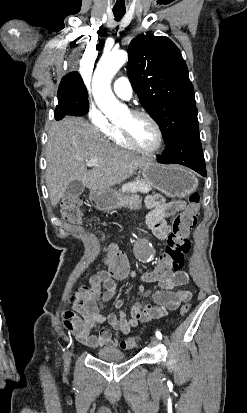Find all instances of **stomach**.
I'll use <instances>...</instances> for the list:
<instances>
[{"label":"stomach","instance_id":"stomach-1","mask_svg":"<svg viewBox=\"0 0 247 413\" xmlns=\"http://www.w3.org/2000/svg\"><path fill=\"white\" fill-rule=\"evenodd\" d=\"M141 172L148 184L171 198H184L198 186V178L194 172L180 164H160L150 158L141 166ZM89 198L95 202V207L99 211H114L121 207L140 209L142 202L140 194H120L113 188L91 190Z\"/></svg>","mask_w":247,"mask_h":413}]
</instances>
